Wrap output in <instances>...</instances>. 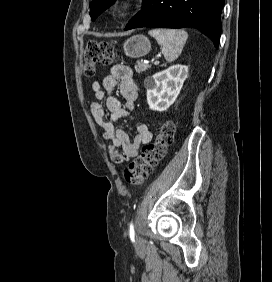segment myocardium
<instances>
[{
	"label": "myocardium",
	"mask_w": 272,
	"mask_h": 282,
	"mask_svg": "<svg viewBox=\"0 0 272 282\" xmlns=\"http://www.w3.org/2000/svg\"><path fill=\"white\" fill-rule=\"evenodd\" d=\"M137 8L136 0H120L117 5L119 14L123 17L131 15Z\"/></svg>",
	"instance_id": "f54148a6"
}]
</instances>
